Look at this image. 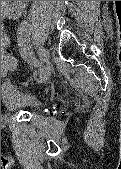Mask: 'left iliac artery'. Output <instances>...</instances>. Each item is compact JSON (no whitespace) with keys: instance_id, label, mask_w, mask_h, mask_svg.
I'll return each mask as SVG.
<instances>
[{"instance_id":"44dca946","label":"left iliac artery","mask_w":121,"mask_h":169,"mask_svg":"<svg viewBox=\"0 0 121 169\" xmlns=\"http://www.w3.org/2000/svg\"><path fill=\"white\" fill-rule=\"evenodd\" d=\"M29 24L25 23L22 26L18 27L19 34L16 35L17 43H18V51H21V58H23L24 61H27V64H32V68H36L33 70L34 74H41L42 70L45 69L44 65H41V61H36L35 63V57L32 56L34 54V48L33 46H28L27 42H22V39L25 38L26 33L28 32Z\"/></svg>"}]
</instances>
